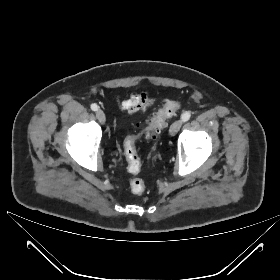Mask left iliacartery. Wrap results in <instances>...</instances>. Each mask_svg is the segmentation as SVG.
<instances>
[{
  "instance_id": "left-iliac-artery-1",
  "label": "left iliac artery",
  "mask_w": 280,
  "mask_h": 280,
  "mask_svg": "<svg viewBox=\"0 0 280 280\" xmlns=\"http://www.w3.org/2000/svg\"><path fill=\"white\" fill-rule=\"evenodd\" d=\"M190 117H191V113L190 112H185V113L182 114L181 119H182L183 122H186L190 119Z\"/></svg>"
}]
</instances>
